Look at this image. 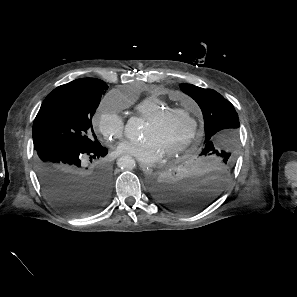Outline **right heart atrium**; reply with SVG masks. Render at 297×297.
Masks as SVG:
<instances>
[{"label": "right heart atrium", "mask_w": 297, "mask_h": 297, "mask_svg": "<svg viewBox=\"0 0 297 297\" xmlns=\"http://www.w3.org/2000/svg\"><path fill=\"white\" fill-rule=\"evenodd\" d=\"M121 103L113 99V94L105 96L95 114L99 132L109 141L119 139L124 132V119L120 114Z\"/></svg>", "instance_id": "right-heart-atrium-1"}]
</instances>
